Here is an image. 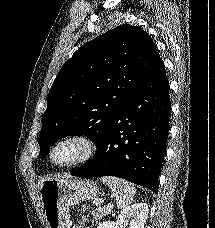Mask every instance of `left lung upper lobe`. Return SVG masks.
Returning a JSON list of instances; mask_svg holds the SVG:
<instances>
[{
  "label": "left lung upper lobe",
  "instance_id": "1",
  "mask_svg": "<svg viewBox=\"0 0 215 228\" xmlns=\"http://www.w3.org/2000/svg\"><path fill=\"white\" fill-rule=\"evenodd\" d=\"M158 55L150 36L124 24L82 45L57 74L38 137L42 159L69 135L96 145Z\"/></svg>",
  "mask_w": 215,
  "mask_h": 228
}]
</instances>
